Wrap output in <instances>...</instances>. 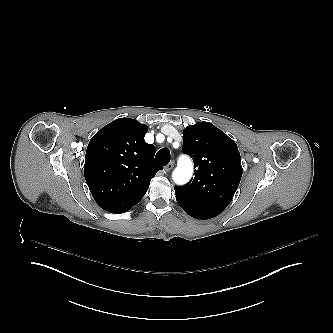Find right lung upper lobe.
<instances>
[{"label":"right lung upper lobe","instance_id":"obj_1","mask_svg":"<svg viewBox=\"0 0 333 333\" xmlns=\"http://www.w3.org/2000/svg\"><path fill=\"white\" fill-rule=\"evenodd\" d=\"M148 127L130 118L116 119L90 140L85 179L95 201L108 208L119 196L147 189L163 167L154 160L155 147L144 140Z\"/></svg>","mask_w":333,"mask_h":333}]
</instances>
